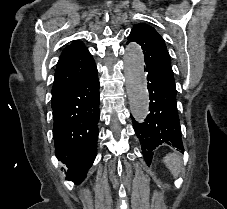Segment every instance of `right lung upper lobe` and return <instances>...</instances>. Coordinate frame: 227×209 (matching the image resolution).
I'll list each match as a JSON object with an SVG mask.
<instances>
[{
  "mask_svg": "<svg viewBox=\"0 0 227 209\" xmlns=\"http://www.w3.org/2000/svg\"><path fill=\"white\" fill-rule=\"evenodd\" d=\"M94 62L92 55L81 41H73L68 45L60 55V59L56 67V75L61 73L62 69L68 66L87 67ZM80 79V75L73 77L58 76L54 79L52 88V97H56L64 93Z\"/></svg>",
  "mask_w": 227,
  "mask_h": 209,
  "instance_id": "right-lung-upper-lobe-1",
  "label": "right lung upper lobe"
}]
</instances>
